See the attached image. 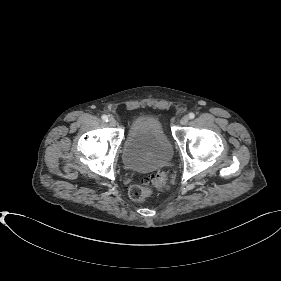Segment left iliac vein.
<instances>
[{
	"label": "left iliac vein",
	"instance_id": "4c4485c4",
	"mask_svg": "<svg viewBox=\"0 0 281 281\" xmlns=\"http://www.w3.org/2000/svg\"><path fill=\"white\" fill-rule=\"evenodd\" d=\"M188 117L187 116H183L180 120V124L181 125H186L188 123Z\"/></svg>",
	"mask_w": 281,
	"mask_h": 281
}]
</instances>
